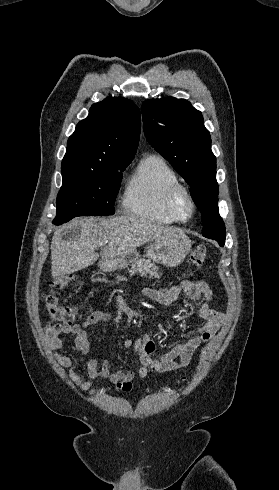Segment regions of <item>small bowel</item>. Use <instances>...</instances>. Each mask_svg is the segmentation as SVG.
Returning a JSON list of instances; mask_svg holds the SVG:
<instances>
[{"instance_id": "1", "label": "small bowel", "mask_w": 279, "mask_h": 490, "mask_svg": "<svg viewBox=\"0 0 279 490\" xmlns=\"http://www.w3.org/2000/svg\"><path fill=\"white\" fill-rule=\"evenodd\" d=\"M182 292L198 306L199 315L204 321L201 327L190 333L185 341L157 357H154L155 343L149 335L143 334L135 339H125L123 346L133 348L139 356L137 371L120 369L112 372L110 371L109 360H103L99 365L96 360L91 359L84 363L89 378L107 380L118 390L127 392L132 389V382L137 377H145L150 372L172 371L188 366L201 343L211 340L223 321V314L208 306V302L213 300V293L209 285L202 280L185 279L169 288L144 289L142 295L160 305L169 306L179 299ZM111 319L112 314L110 312L96 310L91 312L82 324L60 325L48 322L44 328L45 340L52 350L57 351L63 346L66 336H73L75 350L79 354L85 355L89 350L87 329ZM55 357L59 364L68 370L70 379L78 387L83 391L91 390L92 382L82 380L77 373V361L74 356L56 353Z\"/></svg>"}]
</instances>
